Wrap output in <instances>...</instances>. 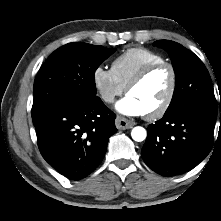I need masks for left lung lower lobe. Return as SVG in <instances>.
<instances>
[{"label": "left lung lower lobe", "instance_id": "1", "mask_svg": "<svg viewBox=\"0 0 221 221\" xmlns=\"http://www.w3.org/2000/svg\"><path fill=\"white\" fill-rule=\"evenodd\" d=\"M215 113L185 105L150 124L141 155L146 165L163 176H175L196 167L213 145Z\"/></svg>", "mask_w": 221, "mask_h": 221}]
</instances>
